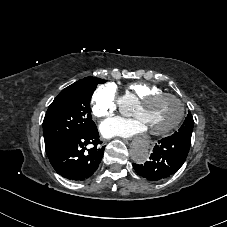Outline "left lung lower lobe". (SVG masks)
Here are the masks:
<instances>
[{"instance_id":"0a47b994","label":"left lung lower lobe","mask_w":227,"mask_h":227,"mask_svg":"<svg viewBox=\"0 0 227 227\" xmlns=\"http://www.w3.org/2000/svg\"><path fill=\"white\" fill-rule=\"evenodd\" d=\"M191 139L169 136L158 141L150 160L143 165L133 164L139 175L150 180H162L174 174L185 162Z\"/></svg>"}]
</instances>
